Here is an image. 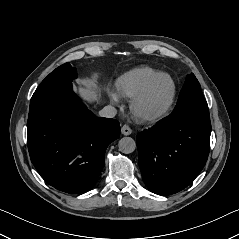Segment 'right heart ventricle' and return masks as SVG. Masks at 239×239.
I'll list each match as a JSON object with an SVG mask.
<instances>
[{
    "label": "right heart ventricle",
    "instance_id": "1",
    "mask_svg": "<svg viewBox=\"0 0 239 239\" xmlns=\"http://www.w3.org/2000/svg\"><path fill=\"white\" fill-rule=\"evenodd\" d=\"M158 73L149 67L132 69L118 78L116 90L122 97H133Z\"/></svg>",
    "mask_w": 239,
    "mask_h": 239
}]
</instances>
